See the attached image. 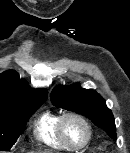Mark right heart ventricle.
<instances>
[{"instance_id": "e07e8e85", "label": "right heart ventricle", "mask_w": 130, "mask_h": 153, "mask_svg": "<svg viewBox=\"0 0 130 153\" xmlns=\"http://www.w3.org/2000/svg\"><path fill=\"white\" fill-rule=\"evenodd\" d=\"M60 114L54 110H46L41 112L33 122V133L35 138L42 144L62 150L69 149L61 140L57 124Z\"/></svg>"}]
</instances>
